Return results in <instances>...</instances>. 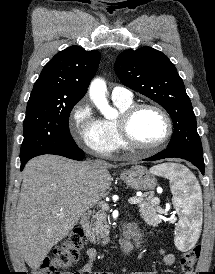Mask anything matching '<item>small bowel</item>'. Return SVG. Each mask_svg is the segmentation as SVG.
<instances>
[{
  "mask_svg": "<svg viewBox=\"0 0 215 274\" xmlns=\"http://www.w3.org/2000/svg\"><path fill=\"white\" fill-rule=\"evenodd\" d=\"M162 254V260L166 267H172L175 263V256L171 253H166L165 251H161ZM87 255V262L77 270L74 274H91L93 263L97 258V252L94 248H88L86 251ZM171 272V271H169ZM93 274H114L112 272H94ZM131 274H154L151 271H138V272H132Z\"/></svg>",
  "mask_w": 215,
  "mask_h": 274,
  "instance_id": "1",
  "label": "small bowel"
}]
</instances>
